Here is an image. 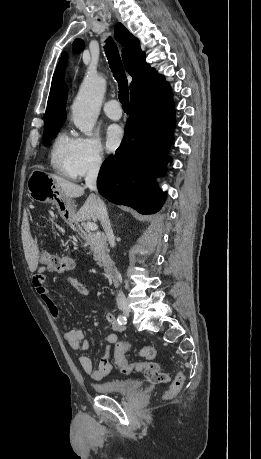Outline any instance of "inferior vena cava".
<instances>
[{
    "label": "inferior vena cava",
    "mask_w": 261,
    "mask_h": 459,
    "mask_svg": "<svg viewBox=\"0 0 261 459\" xmlns=\"http://www.w3.org/2000/svg\"><path fill=\"white\" fill-rule=\"evenodd\" d=\"M100 166H101V158L99 156H97L91 162V164L89 166V169H88V172H87V175L85 177L86 187H88L91 191H94V192L97 191L96 181H97V176H98V173H99ZM91 196H92L93 201H94L96 218H98L100 220V222H101V224H102V226L104 228V231L106 233V237L108 239V242H109L110 246L114 247L115 246V238H114V234H113V231H112V228H111V225H110V221H109L108 213H107V210H106V206H105L104 202L101 200V198L99 196H97L96 194H92ZM116 301H117L118 304H121V303L125 302V296L121 291H119V293H118V295L116 297Z\"/></svg>",
    "instance_id": "602c4592"
}]
</instances>
